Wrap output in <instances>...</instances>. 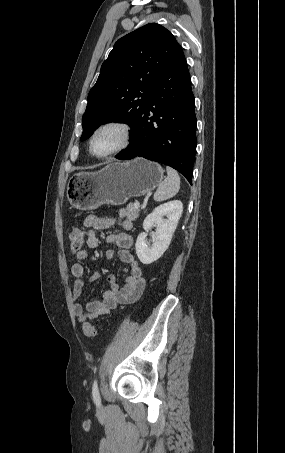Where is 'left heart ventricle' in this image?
I'll return each instance as SVG.
<instances>
[{"instance_id": "obj_1", "label": "left heart ventricle", "mask_w": 285, "mask_h": 453, "mask_svg": "<svg viewBox=\"0 0 285 453\" xmlns=\"http://www.w3.org/2000/svg\"><path fill=\"white\" fill-rule=\"evenodd\" d=\"M121 141L122 134L118 129L107 128L96 135L93 150L96 154L103 155L117 148Z\"/></svg>"}]
</instances>
